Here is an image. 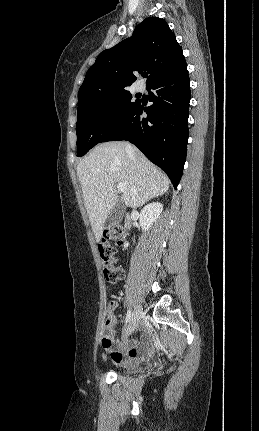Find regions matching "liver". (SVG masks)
<instances>
[{"instance_id":"obj_1","label":"liver","mask_w":259,"mask_h":431,"mask_svg":"<svg viewBox=\"0 0 259 431\" xmlns=\"http://www.w3.org/2000/svg\"><path fill=\"white\" fill-rule=\"evenodd\" d=\"M127 145L121 141L102 143L78 163L77 174L97 242L117 202L116 183L126 185L122 199L131 208L142 206L169 189L170 181L165 173L136 147L128 152Z\"/></svg>"}]
</instances>
